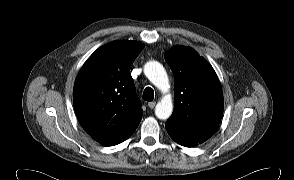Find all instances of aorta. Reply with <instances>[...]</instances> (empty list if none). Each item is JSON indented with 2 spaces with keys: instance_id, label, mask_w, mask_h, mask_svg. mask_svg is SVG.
<instances>
[{
  "instance_id": "762f6f07",
  "label": "aorta",
  "mask_w": 294,
  "mask_h": 180,
  "mask_svg": "<svg viewBox=\"0 0 294 180\" xmlns=\"http://www.w3.org/2000/svg\"><path fill=\"white\" fill-rule=\"evenodd\" d=\"M144 73L150 82L164 93L168 92L169 79L164 67L157 61H149L144 66ZM173 111L172 98L166 94L155 107V115L157 118L168 119Z\"/></svg>"
}]
</instances>
